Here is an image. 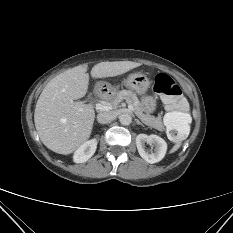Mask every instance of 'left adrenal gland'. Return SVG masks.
<instances>
[{
	"label": "left adrenal gland",
	"instance_id": "left-adrenal-gland-1",
	"mask_svg": "<svg viewBox=\"0 0 233 233\" xmlns=\"http://www.w3.org/2000/svg\"><path fill=\"white\" fill-rule=\"evenodd\" d=\"M135 121H136V124L144 126L138 119H136Z\"/></svg>",
	"mask_w": 233,
	"mask_h": 233
}]
</instances>
